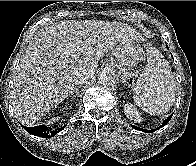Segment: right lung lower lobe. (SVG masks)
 <instances>
[{
    "mask_svg": "<svg viewBox=\"0 0 196 166\" xmlns=\"http://www.w3.org/2000/svg\"><path fill=\"white\" fill-rule=\"evenodd\" d=\"M64 127H61L59 129H51L50 127H47L44 125H39V126H35V127H24V128H25V130H27L29 133H31L33 135H37V136H40L43 138H50V137L55 136Z\"/></svg>",
    "mask_w": 196,
    "mask_h": 166,
    "instance_id": "obj_1",
    "label": "right lung lower lobe"
}]
</instances>
